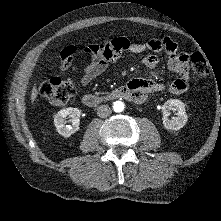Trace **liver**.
<instances>
[{
	"mask_svg": "<svg viewBox=\"0 0 221 221\" xmlns=\"http://www.w3.org/2000/svg\"><path fill=\"white\" fill-rule=\"evenodd\" d=\"M37 95H38V90L36 89V84H34L31 91V98H30L31 102H34L36 100Z\"/></svg>",
	"mask_w": 221,
	"mask_h": 221,
	"instance_id": "obj_1",
	"label": "liver"
}]
</instances>
